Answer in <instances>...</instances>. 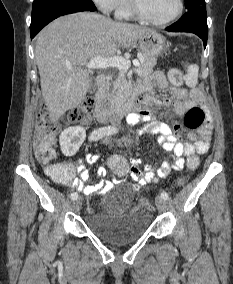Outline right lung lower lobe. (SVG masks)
<instances>
[{"mask_svg":"<svg viewBox=\"0 0 233 284\" xmlns=\"http://www.w3.org/2000/svg\"><path fill=\"white\" fill-rule=\"evenodd\" d=\"M96 7H87V6H58L46 11H43L35 16H32L31 25H30V35L31 38L34 36L49 22L55 18L75 13L81 11H95Z\"/></svg>","mask_w":233,"mask_h":284,"instance_id":"obj_1","label":"right lung lower lobe"}]
</instances>
